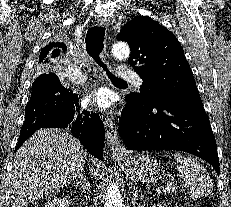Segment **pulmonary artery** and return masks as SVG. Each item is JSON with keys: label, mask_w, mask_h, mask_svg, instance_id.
I'll use <instances>...</instances> for the list:
<instances>
[{"label": "pulmonary artery", "mask_w": 231, "mask_h": 207, "mask_svg": "<svg viewBox=\"0 0 231 207\" xmlns=\"http://www.w3.org/2000/svg\"><path fill=\"white\" fill-rule=\"evenodd\" d=\"M70 78L75 83H82L85 80V77L81 74L75 73V68H71ZM117 77L131 82L136 87H141L143 85L142 78L133 70H130L125 67H119L117 70Z\"/></svg>", "instance_id": "pulmonary-artery-1"}]
</instances>
